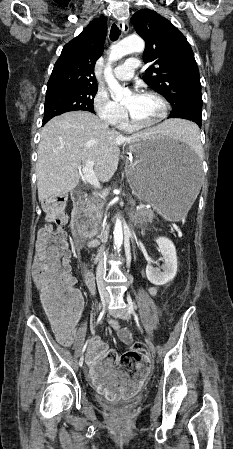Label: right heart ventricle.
Here are the masks:
<instances>
[{"instance_id":"1","label":"right heart ventricle","mask_w":233,"mask_h":449,"mask_svg":"<svg viewBox=\"0 0 233 449\" xmlns=\"http://www.w3.org/2000/svg\"><path fill=\"white\" fill-rule=\"evenodd\" d=\"M116 126L125 132H132L135 130V127L130 123L127 116L124 115L116 124Z\"/></svg>"}]
</instances>
